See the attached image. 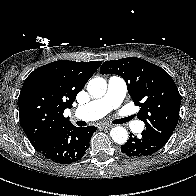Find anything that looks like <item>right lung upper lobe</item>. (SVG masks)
I'll return each instance as SVG.
<instances>
[{
    "mask_svg": "<svg viewBox=\"0 0 196 196\" xmlns=\"http://www.w3.org/2000/svg\"><path fill=\"white\" fill-rule=\"evenodd\" d=\"M101 61L59 60L35 69L19 95L21 126L34 148L72 125L63 116Z\"/></svg>",
    "mask_w": 196,
    "mask_h": 196,
    "instance_id": "obj_1",
    "label": "right lung upper lobe"
}]
</instances>
